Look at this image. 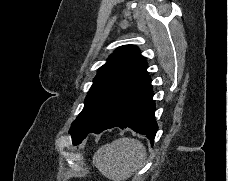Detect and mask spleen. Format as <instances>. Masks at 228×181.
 <instances>
[{"instance_id":"1","label":"spleen","mask_w":228,"mask_h":181,"mask_svg":"<svg viewBox=\"0 0 228 181\" xmlns=\"http://www.w3.org/2000/svg\"><path fill=\"white\" fill-rule=\"evenodd\" d=\"M147 157L141 141L122 137L103 145L93 157V165L110 181H127Z\"/></svg>"}]
</instances>
